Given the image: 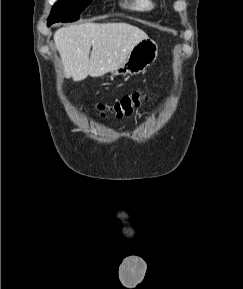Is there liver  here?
<instances>
[{
    "label": "liver",
    "instance_id": "liver-1",
    "mask_svg": "<svg viewBox=\"0 0 243 289\" xmlns=\"http://www.w3.org/2000/svg\"><path fill=\"white\" fill-rule=\"evenodd\" d=\"M147 38L142 29L122 22L81 23L54 33L64 72L74 81L84 80L88 75L101 77L117 69L133 47Z\"/></svg>",
    "mask_w": 243,
    "mask_h": 289
}]
</instances>
